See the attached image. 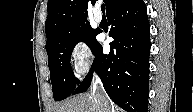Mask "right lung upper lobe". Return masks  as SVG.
<instances>
[{
  "instance_id": "obj_1",
  "label": "right lung upper lobe",
  "mask_w": 193,
  "mask_h": 112,
  "mask_svg": "<svg viewBox=\"0 0 193 112\" xmlns=\"http://www.w3.org/2000/svg\"><path fill=\"white\" fill-rule=\"evenodd\" d=\"M106 5L107 16L116 10L126 0H103ZM96 0H49L47 4L48 16L45 22L47 43L60 32L85 24L87 9Z\"/></svg>"
}]
</instances>
